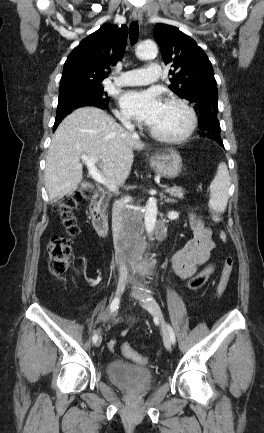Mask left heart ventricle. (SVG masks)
I'll use <instances>...</instances> for the list:
<instances>
[{
	"instance_id": "obj_1",
	"label": "left heart ventricle",
	"mask_w": 264,
	"mask_h": 433,
	"mask_svg": "<svg viewBox=\"0 0 264 433\" xmlns=\"http://www.w3.org/2000/svg\"><path fill=\"white\" fill-rule=\"evenodd\" d=\"M188 115L179 106L164 103L157 119L150 124L155 131L165 135H177L188 125Z\"/></svg>"
}]
</instances>
